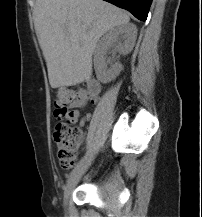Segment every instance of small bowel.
Returning <instances> with one entry per match:
<instances>
[{
	"mask_svg": "<svg viewBox=\"0 0 202 217\" xmlns=\"http://www.w3.org/2000/svg\"><path fill=\"white\" fill-rule=\"evenodd\" d=\"M84 95V98L82 101L77 103L76 105L73 106V109L71 110L69 120L73 123L77 122L80 116L79 109L83 108L87 104V99L89 98L92 103L96 102L98 94L91 95L88 92H82ZM91 114L86 113L79 121V124L83 126L88 120H90Z\"/></svg>",
	"mask_w": 202,
	"mask_h": 217,
	"instance_id": "small-bowel-1",
	"label": "small bowel"
}]
</instances>
